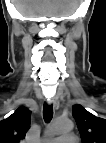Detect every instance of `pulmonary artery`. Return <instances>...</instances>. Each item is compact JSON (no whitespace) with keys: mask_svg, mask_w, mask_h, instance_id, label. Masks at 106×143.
Returning <instances> with one entry per match:
<instances>
[{"mask_svg":"<svg viewBox=\"0 0 106 143\" xmlns=\"http://www.w3.org/2000/svg\"><path fill=\"white\" fill-rule=\"evenodd\" d=\"M76 140L77 139H76L75 136H73V135H67V136H64V137L55 138L54 142H61V141L74 142Z\"/></svg>","mask_w":106,"mask_h":143,"instance_id":"1","label":"pulmonary artery"}]
</instances>
